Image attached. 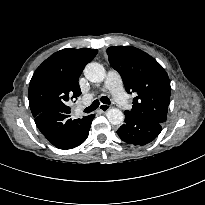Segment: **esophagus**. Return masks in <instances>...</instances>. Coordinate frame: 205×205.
<instances>
[{
    "label": "esophagus",
    "instance_id": "esophagus-1",
    "mask_svg": "<svg viewBox=\"0 0 205 205\" xmlns=\"http://www.w3.org/2000/svg\"><path fill=\"white\" fill-rule=\"evenodd\" d=\"M110 109V106L107 104H100L99 105V110L102 112H107Z\"/></svg>",
    "mask_w": 205,
    "mask_h": 205
}]
</instances>
